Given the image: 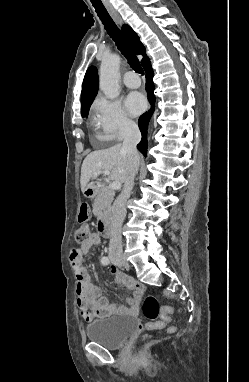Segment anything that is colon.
Wrapping results in <instances>:
<instances>
[{"mask_svg":"<svg viewBox=\"0 0 249 382\" xmlns=\"http://www.w3.org/2000/svg\"><path fill=\"white\" fill-rule=\"evenodd\" d=\"M89 215V207L82 204L79 212L81 226L76 230L75 240L79 244L86 242L90 235V229L85 223ZM173 310L170 307L160 308L158 299L154 295H147L142 302V313L149 321L145 323L146 329H157L170 323Z\"/></svg>","mask_w":249,"mask_h":382,"instance_id":"colon-1","label":"colon"}]
</instances>
